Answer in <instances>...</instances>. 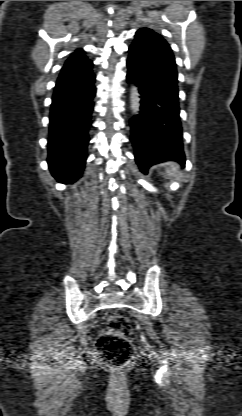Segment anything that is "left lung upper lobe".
Masks as SVG:
<instances>
[{"label": "left lung upper lobe", "instance_id": "left-lung-upper-lobe-1", "mask_svg": "<svg viewBox=\"0 0 242 416\" xmlns=\"http://www.w3.org/2000/svg\"><path fill=\"white\" fill-rule=\"evenodd\" d=\"M138 31H152V30L151 29H148V28H142V29H140Z\"/></svg>", "mask_w": 242, "mask_h": 416}]
</instances>
